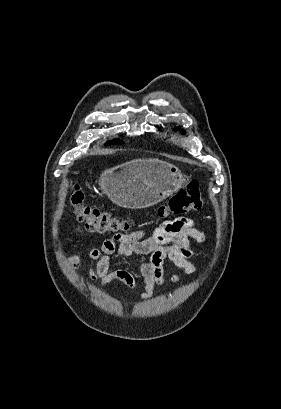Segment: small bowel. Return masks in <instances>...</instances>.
Instances as JSON below:
<instances>
[{
	"mask_svg": "<svg viewBox=\"0 0 281 409\" xmlns=\"http://www.w3.org/2000/svg\"><path fill=\"white\" fill-rule=\"evenodd\" d=\"M203 233L196 227L194 220L179 217L161 223L148 233L145 230H136L129 233H118L105 239L99 247L90 250L89 256L94 261L90 275L92 279H99L102 287L112 282H121L129 289H134L136 280L134 275L126 269L110 270L111 256L120 257L134 255H148L145 262L135 263V267L144 279L142 297H152L157 286L179 281L181 275L174 274L166 278L164 273L165 261L172 262L184 273L195 270L190 258L194 252L190 240L203 241ZM81 257L74 254L71 264L74 268L80 265Z\"/></svg>",
	"mask_w": 281,
	"mask_h": 409,
	"instance_id": "obj_1",
	"label": "small bowel"
}]
</instances>
